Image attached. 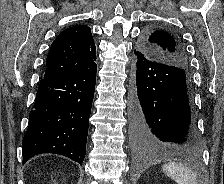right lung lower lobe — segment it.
Segmentation results:
<instances>
[{
	"instance_id": "1",
	"label": "right lung lower lobe",
	"mask_w": 224,
	"mask_h": 184,
	"mask_svg": "<svg viewBox=\"0 0 224 184\" xmlns=\"http://www.w3.org/2000/svg\"><path fill=\"white\" fill-rule=\"evenodd\" d=\"M97 64L66 75L44 77L22 142L23 164L42 153L82 164L96 83Z\"/></svg>"
}]
</instances>
